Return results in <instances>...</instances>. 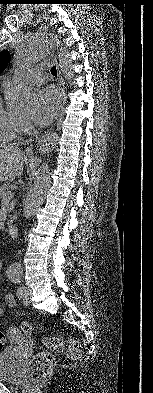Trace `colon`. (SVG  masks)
Here are the masks:
<instances>
[{
	"instance_id": "5ec220e1",
	"label": "colon",
	"mask_w": 153,
	"mask_h": 393,
	"mask_svg": "<svg viewBox=\"0 0 153 393\" xmlns=\"http://www.w3.org/2000/svg\"><path fill=\"white\" fill-rule=\"evenodd\" d=\"M21 329L25 335L31 334V326L29 323L24 322ZM11 333H16L11 329ZM42 342L53 353H65L68 358L76 360L81 355V347L79 342L74 339H69L66 342L54 337L43 338ZM6 338L0 333V350L5 347ZM56 363L52 354L47 352L39 353L31 363L29 377L35 382H42L49 374L50 370Z\"/></svg>"
}]
</instances>
